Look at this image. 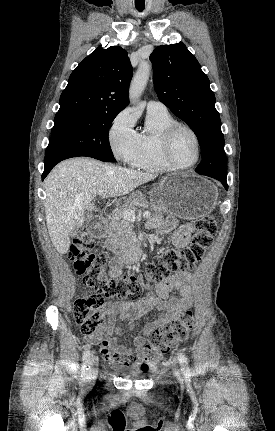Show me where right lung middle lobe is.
I'll use <instances>...</instances> for the list:
<instances>
[{
    "mask_svg": "<svg viewBox=\"0 0 275 431\" xmlns=\"http://www.w3.org/2000/svg\"><path fill=\"white\" fill-rule=\"evenodd\" d=\"M118 113L85 110L56 114L46 155L81 150L115 162L108 134Z\"/></svg>",
    "mask_w": 275,
    "mask_h": 431,
    "instance_id": "1",
    "label": "right lung middle lobe"
}]
</instances>
